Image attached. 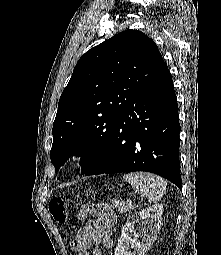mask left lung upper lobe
Wrapping results in <instances>:
<instances>
[{
	"instance_id": "left-lung-upper-lobe-1",
	"label": "left lung upper lobe",
	"mask_w": 221,
	"mask_h": 255,
	"mask_svg": "<svg viewBox=\"0 0 221 255\" xmlns=\"http://www.w3.org/2000/svg\"><path fill=\"white\" fill-rule=\"evenodd\" d=\"M164 65L154 41L133 29L86 52L58 103L50 152L55 170L78 155L83 174L101 155L116 120Z\"/></svg>"
}]
</instances>
